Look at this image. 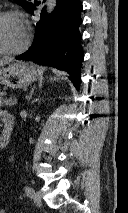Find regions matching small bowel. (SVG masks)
Segmentation results:
<instances>
[{"mask_svg":"<svg viewBox=\"0 0 128 213\" xmlns=\"http://www.w3.org/2000/svg\"><path fill=\"white\" fill-rule=\"evenodd\" d=\"M5 115H6V113H5V112H2V111L0 110V118L3 119V117H4ZM0 213H5V212H4V210L0 209Z\"/></svg>","mask_w":128,"mask_h":213,"instance_id":"obj_1","label":"small bowel"}]
</instances>
